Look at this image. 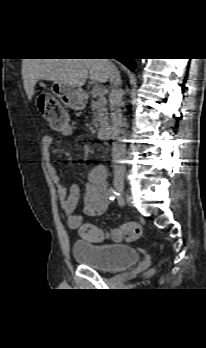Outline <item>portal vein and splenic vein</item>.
Here are the masks:
<instances>
[{
  "label": "portal vein and splenic vein",
  "instance_id": "obj_1",
  "mask_svg": "<svg viewBox=\"0 0 206 348\" xmlns=\"http://www.w3.org/2000/svg\"><path fill=\"white\" fill-rule=\"evenodd\" d=\"M104 88H102L101 86H94L93 89H92V93L95 95V96H103L104 95Z\"/></svg>",
  "mask_w": 206,
  "mask_h": 348
}]
</instances>
